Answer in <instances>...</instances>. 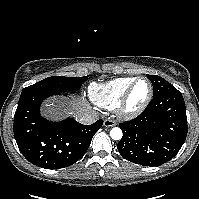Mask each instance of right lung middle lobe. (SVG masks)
<instances>
[{"mask_svg": "<svg viewBox=\"0 0 199 199\" xmlns=\"http://www.w3.org/2000/svg\"><path fill=\"white\" fill-rule=\"evenodd\" d=\"M87 79L88 76H83V77L52 76L24 88L22 93L33 90L46 92V93H59L64 91L74 92L79 90L81 85Z\"/></svg>", "mask_w": 199, "mask_h": 199, "instance_id": "dd1d6c3e", "label": "right lung middle lobe"}]
</instances>
